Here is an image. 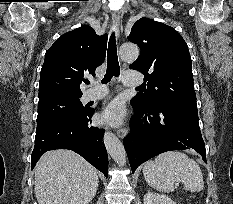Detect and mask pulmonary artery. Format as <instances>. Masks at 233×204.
<instances>
[{
  "instance_id": "pulmonary-artery-1",
  "label": "pulmonary artery",
  "mask_w": 233,
  "mask_h": 204,
  "mask_svg": "<svg viewBox=\"0 0 233 204\" xmlns=\"http://www.w3.org/2000/svg\"><path fill=\"white\" fill-rule=\"evenodd\" d=\"M143 82L142 77L139 74L127 72L124 74L123 83L127 86L140 85ZM92 88L85 91L82 99L84 101L98 100L107 95V88L100 86L96 82H92Z\"/></svg>"
}]
</instances>
